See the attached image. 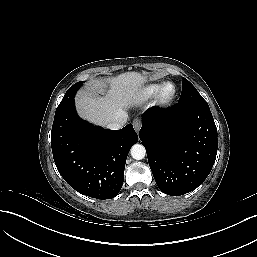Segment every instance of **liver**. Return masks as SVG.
Segmentation results:
<instances>
[{"mask_svg": "<svg viewBox=\"0 0 257 257\" xmlns=\"http://www.w3.org/2000/svg\"><path fill=\"white\" fill-rule=\"evenodd\" d=\"M101 84H108L109 89L104 97L91 93H81L76 98L79 115L90 122L105 126L117 119L124 112L131 96L137 91L146 78L137 72L122 73L112 78H105Z\"/></svg>", "mask_w": 257, "mask_h": 257, "instance_id": "obj_1", "label": "liver"}]
</instances>
